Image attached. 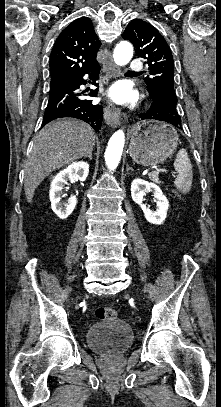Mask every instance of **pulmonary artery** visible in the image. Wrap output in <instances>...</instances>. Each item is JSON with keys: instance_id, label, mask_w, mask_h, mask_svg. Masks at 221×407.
Returning <instances> with one entry per match:
<instances>
[{"instance_id": "e3ab8cb5", "label": "pulmonary artery", "mask_w": 221, "mask_h": 407, "mask_svg": "<svg viewBox=\"0 0 221 407\" xmlns=\"http://www.w3.org/2000/svg\"><path fill=\"white\" fill-rule=\"evenodd\" d=\"M142 68H143L142 63L140 61H138V60H135L130 64L131 72L141 73Z\"/></svg>"}]
</instances>
